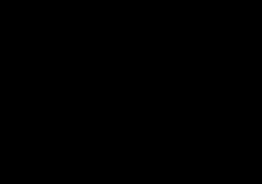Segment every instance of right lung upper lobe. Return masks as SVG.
I'll return each instance as SVG.
<instances>
[{
  "label": "right lung upper lobe",
  "mask_w": 262,
  "mask_h": 184,
  "mask_svg": "<svg viewBox=\"0 0 262 184\" xmlns=\"http://www.w3.org/2000/svg\"><path fill=\"white\" fill-rule=\"evenodd\" d=\"M113 29L114 26L105 21H84L61 37L57 45V56L67 50L77 47L82 43H92L111 32ZM59 95L61 94L57 93L53 98L56 99Z\"/></svg>",
  "instance_id": "obj_1"
}]
</instances>
